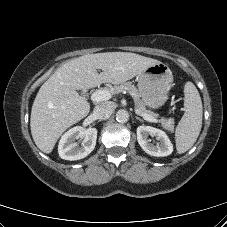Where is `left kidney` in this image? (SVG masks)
Instances as JSON below:
<instances>
[{
    "label": "left kidney",
    "instance_id": "left-kidney-1",
    "mask_svg": "<svg viewBox=\"0 0 227 227\" xmlns=\"http://www.w3.org/2000/svg\"><path fill=\"white\" fill-rule=\"evenodd\" d=\"M155 136L160 143L154 145L148 139V136ZM137 140L141 148L149 155L156 157L168 156L173 151V145L167 134L151 126H139L137 128Z\"/></svg>",
    "mask_w": 227,
    "mask_h": 227
}]
</instances>
